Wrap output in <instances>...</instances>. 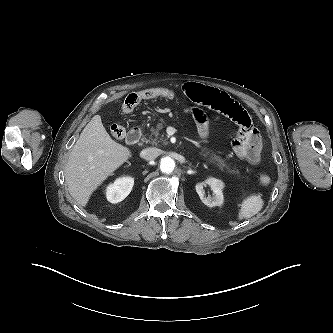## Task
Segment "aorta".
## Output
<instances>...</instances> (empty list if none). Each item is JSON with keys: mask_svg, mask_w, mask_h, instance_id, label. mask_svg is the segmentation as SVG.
I'll return each instance as SVG.
<instances>
[{"mask_svg": "<svg viewBox=\"0 0 333 333\" xmlns=\"http://www.w3.org/2000/svg\"><path fill=\"white\" fill-rule=\"evenodd\" d=\"M175 169V161L171 157H163L160 161V170L163 173L170 174Z\"/></svg>", "mask_w": 333, "mask_h": 333, "instance_id": "762f6f07", "label": "aorta"}]
</instances>
